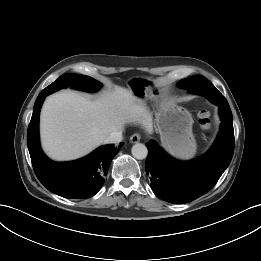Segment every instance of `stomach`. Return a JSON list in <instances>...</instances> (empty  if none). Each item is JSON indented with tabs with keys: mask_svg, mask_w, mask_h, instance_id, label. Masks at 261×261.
I'll use <instances>...</instances> for the list:
<instances>
[{
	"mask_svg": "<svg viewBox=\"0 0 261 261\" xmlns=\"http://www.w3.org/2000/svg\"><path fill=\"white\" fill-rule=\"evenodd\" d=\"M129 88L142 101L148 97L158 101L155 122L164 148L176 157L191 158L196 152V142L190 112L173 101L164 99L162 91L150 78H133L129 81Z\"/></svg>",
	"mask_w": 261,
	"mask_h": 261,
	"instance_id": "obj_1",
	"label": "stomach"
}]
</instances>
